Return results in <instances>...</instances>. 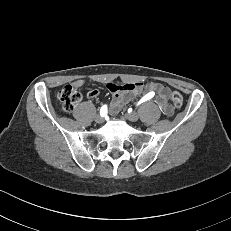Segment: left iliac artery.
Here are the masks:
<instances>
[{"instance_id":"44dca946","label":"left iliac artery","mask_w":231,"mask_h":231,"mask_svg":"<svg viewBox=\"0 0 231 231\" xmlns=\"http://www.w3.org/2000/svg\"><path fill=\"white\" fill-rule=\"evenodd\" d=\"M154 95H155V93H154L153 91H152V92H149L148 94H146V95L139 101L138 104H141V103H143V102H145V101H147V100L153 98Z\"/></svg>"}]
</instances>
